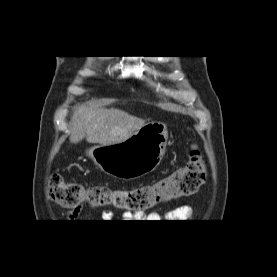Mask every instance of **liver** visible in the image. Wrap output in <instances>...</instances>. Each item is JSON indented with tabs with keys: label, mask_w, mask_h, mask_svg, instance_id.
Listing matches in <instances>:
<instances>
[{
	"label": "liver",
	"mask_w": 277,
	"mask_h": 277,
	"mask_svg": "<svg viewBox=\"0 0 277 277\" xmlns=\"http://www.w3.org/2000/svg\"><path fill=\"white\" fill-rule=\"evenodd\" d=\"M70 125L71 143L86 138L88 143L110 145L130 138L145 125V120L118 109L90 105L77 107Z\"/></svg>",
	"instance_id": "6515ba94"
}]
</instances>
